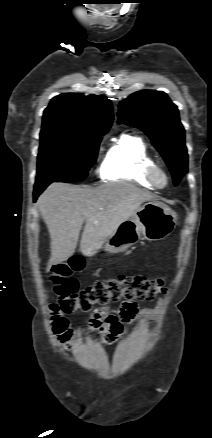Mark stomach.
<instances>
[{
    "label": "stomach",
    "mask_w": 212,
    "mask_h": 438,
    "mask_svg": "<svg viewBox=\"0 0 212 438\" xmlns=\"http://www.w3.org/2000/svg\"><path fill=\"white\" fill-rule=\"evenodd\" d=\"M176 224L177 216L171 208L157 200L149 201L106 239L104 249L110 253H121L141 238L148 241L163 240L174 231Z\"/></svg>",
    "instance_id": "1"
}]
</instances>
